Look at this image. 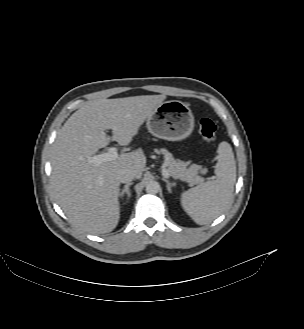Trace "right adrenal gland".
Listing matches in <instances>:
<instances>
[{
    "label": "right adrenal gland",
    "mask_w": 304,
    "mask_h": 329,
    "mask_svg": "<svg viewBox=\"0 0 304 329\" xmlns=\"http://www.w3.org/2000/svg\"><path fill=\"white\" fill-rule=\"evenodd\" d=\"M132 184H133V183L130 182V183H127L126 185H124L122 191L120 192V198H121V199H123L124 194H126L127 197L130 198L131 193H130L129 187H130Z\"/></svg>",
    "instance_id": "2a0ac1e0"
}]
</instances>
